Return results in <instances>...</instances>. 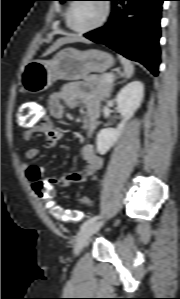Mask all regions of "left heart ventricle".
Listing matches in <instances>:
<instances>
[{
  "mask_svg": "<svg viewBox=\"0 0 180 299\" xmlns=\"http://www.w3.org/2000/svg\"><path fill=\"white\" fill-rule=\"evenodd\" d=\"M103 7L98 1L77 2L72 10L71 23L75 28L84 29L96 24L102 17Z\"/></svg>",
  "mask_w": 180,
  "mask_h": 299,
  "instance_id": "1",
  "label": "left heart ventricle"
}]
</instances>
